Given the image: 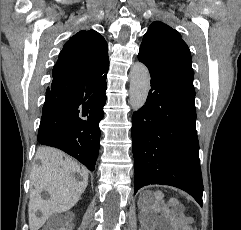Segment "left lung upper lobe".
Returning a JSON list of instances; mask_svg holds the SVG:
<instances>
[{"label": "left lung upper lobe", "instance_id": "1", "mask_svg": "<svg viewBox=\"0 0 241 230\" xmlns=\"http://www.w3.org/2000/svg\"><path fill=\"white\" fill-rule=\"evenodd\" d=\"M138 59L149 70L193 83L191 54L178 31L155 21L143 37Z\"/></svg>", "mask_w": 241, "mask_h": 230}]
</instances>
